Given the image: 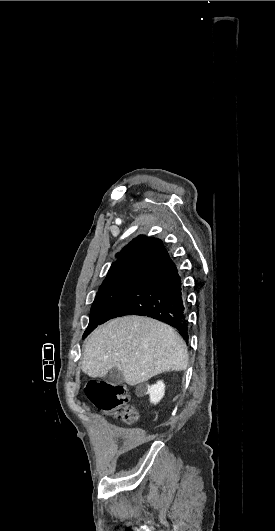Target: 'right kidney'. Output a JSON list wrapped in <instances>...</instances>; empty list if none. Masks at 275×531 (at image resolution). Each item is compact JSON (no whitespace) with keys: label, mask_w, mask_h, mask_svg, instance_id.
I'll return each mask as SVG.
<instances>
[{"label":"right kidney","mask_w":275,"mask_h":531,"mask_svg":"<svg viewBox=\"0 0 275 531\" xmlns=\"http://www.w3.org/2000/svg\"><path fill=\"white\" fill-rule=\"evenodd\" d=\"M165 393V385L163 381H157L156 385H139L136 389L138 397L149 395L151 403L157 405L163 399Z\"/></svg>","instance_id":"obj_1"}]
</instances>
